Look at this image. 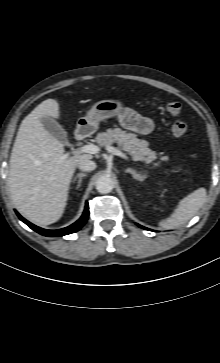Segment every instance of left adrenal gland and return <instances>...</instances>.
Returning <instances> with one entry per match:
<instances>
[{
	"label": "left adrenal gland",
	"instance_id": "left-adrenal-gland-1",
	"mask_svg": "<svg viewBox=\"0 0 220 363\" xmlns=\"http://www.w3.org/2000/svg\"><path fill=\"white\" fill-rule=\"evenodd\" d=\"M125 172L130 173L133 177V179H140L142 176L140 174H138L135 170L131 169V168H127L125 170Z\"/></svg>",
	"mask_w": 220,
	"mask_h": 363
}]
</instances>
